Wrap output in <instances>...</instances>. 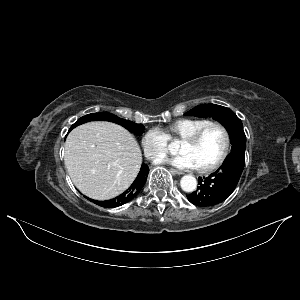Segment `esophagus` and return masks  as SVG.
<instances>
[{
  "label": "esophagus",
  "instance_id": "34e87169",
  "mask_svg": "<svg viewBox=\"0 0 300 300\" xmlns=\"http://www.w3.org/2000/svg\"><path fill=\"white\" fill-rule=\"evenodd\" d=\"M170 171L174 174H177V175H183L184 172L180 171V170H177V169H174V168H171Z\"/></svg>",
  "mask_w": 300,
  "mask_h": 300
}]
</instances>
